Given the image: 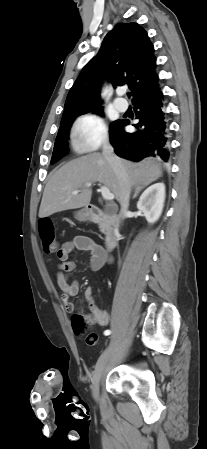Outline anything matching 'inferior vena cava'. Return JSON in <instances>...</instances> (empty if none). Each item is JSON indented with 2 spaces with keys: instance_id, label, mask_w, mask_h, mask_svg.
Instances as JSON below:
<instances>
[{
  "instance_id": "inferior-vena-cava-1",
  "label": "inferior vena cava",
  "mask_w": 207,
  "mask_h": 449,
  "mask_svg": "<svg viewBox=\"0 0 207 449\" xmlns=\"http://www.w3.org/2000/svg\"><path fill=\"white\" fill-rule=\"evenodd\" d=\"M102 153L104 158L108 161V163L112 167L119 181V185L121 188V198H120L121 210L119 213V218L121 220H124L129 206L130 181L121 159L114 154V149L108 142L104 143Z\"/></svg>"
}]
</instances>
